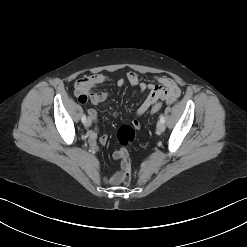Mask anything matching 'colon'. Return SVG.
<instances>
[{"label":"colon","instance_id":"colon-1","mask_svg":"<svg viewBox=\"0 0 247 247\" xmlns=\"http://www.w3.org/2000/svg\"><path fill=\"white\" fill-rule=\"evenodd\" d=\"M163 103L157 101L153 104L151 108V113L155 114L161 110ZM139 124L137 121H133L131 125L122 126L117 132V140L122 146L118 152L121 159L122 175L121 180L124 184H128L131 181V165L129 154L126 146L133 143L136 136V129H138Z\"/></svg>","mask_w":247,"mask_h":247}]
</instances>
